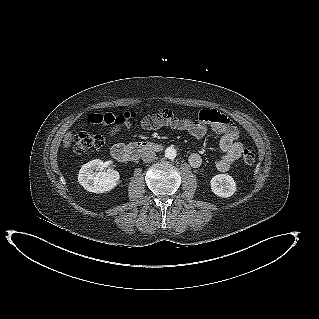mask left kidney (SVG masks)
<instances>
[{"label":"left kidney","instance_id":"1","mask_svg":"<svg viewBox=\"0 0 319 319\" xmlns=\"http://www.w3.org/2000/svg\"><path fill=\"white\" fill-rule=\"evenodd\" d=\"M210 185L212 192L223 198L232 196L237 190L233 177L228 174L214 176L210 181Z\"/></svg>","mask_w":319,"mask_h":319}]
</instances>
